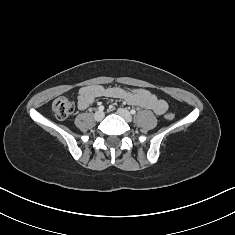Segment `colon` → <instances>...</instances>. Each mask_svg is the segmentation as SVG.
<instances>
[{
  "label": "colon",
  "mask_w": 235,
  "mask_h": 235,
  "mask_svg": "<svg viewBox=\"0 0 235 235\" xmlns=\"http://www.w3.org/2000/svg\"><path fill=\"white\" fill-rule=\"evenodd\" d=\"M52 110L57 119L64 120L72 114L73 104L69 99L65 97H58L52 104ZM165 117L168 120H172L174 118V114L169 112L165 115Z\"/></svg>",
  "instance_id": "obj_1"
}]
</instances>
